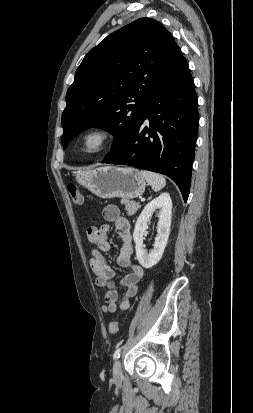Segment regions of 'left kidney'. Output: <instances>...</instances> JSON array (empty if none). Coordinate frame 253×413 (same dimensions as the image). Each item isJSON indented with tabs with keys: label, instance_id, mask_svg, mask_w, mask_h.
Instances as JSON below:
<instances>
[{
	"label": "left kidney",
	"instance_id": "left-kidney-1",
	"mask_svg": "<svg viewBox=\"0 0 253 413\" xmlns=\"http://www.w3.org/2000/svg\"><path fill=\"white\" fill-rule=\"evenodd\" d=\"M160 209L159 221L157 224L158 235L155 239L153 249L147 253L143 245V235L148 229V221L153 212ZM172 201L168 193H162L157 198L149 202L138 217L133 238L135 242L136 256L139 263L146 269L156 265L165 250L168 242L172 218Z\"/></svg>",
	"mask_w": 253,
	"mask_h": 413
}]
</instances>
